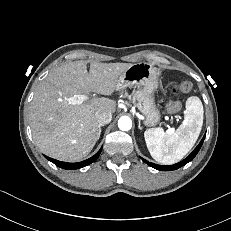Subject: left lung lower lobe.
Masks as SVG:
<instances>
[{"label":"left lung lower lobe","instance_id":"left-lung-lower-lobe-1","mask_svg":"<svg viewBox=\"0 0 231 231\" xmlns=\"http://www.w3.org/2000/svg\"><path fill=\"white\" fill-rule=\"evenodd\" d=\"M206 135V134H205ZM205 135L204 137L202 138V140L200 141L199 145L193 150V152L187 157L185 158L184 160H182L181 162L179 163H176L174 165H169V166H164V165H157V164H154V163H151V162H148L147 160L143 159V161L145 163H147L149 166L157 169V170H160V171H171V170H176L182 166H184L185 164H187L188 162H190L195 156L196 154L198 153V151L200 150L202 144H203V141L205 139Z\"/></svg>","mask_w":231,"mask_h":231}]
</instances>
